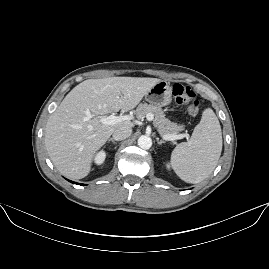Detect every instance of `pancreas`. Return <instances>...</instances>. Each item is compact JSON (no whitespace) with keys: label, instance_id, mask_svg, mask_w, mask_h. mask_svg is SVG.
Returning <instances> with one entry per match:
<instances>
[{"label":"pancreas","instance_id":"obj_1","mask_svg":"<svg viewBox=\"0 0 269 269\" xmlns=\"http://www.w3.org/2000/svg\"><path fill=\"white\" fill-rule=\"evenodd\" d=\"M148 113L154 115L153 126L161 136L164 134L176 135L181 131L182 128L176 124H172L171 121L166 118L164 110L159 106L144 103L141 104L136 111L138 119L145 118Z\"/></svg>","mask_w":269,"mask_h":269}]
</instances>
